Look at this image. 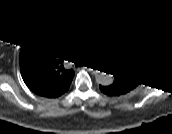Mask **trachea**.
Returning a JSON list of instances; mask_svg holds the SVG:
<instances>
[{
    "instance_id": "3493384b",
    "label": "trachea",
    "mask_w": 172,
    "mask_h": 134,
    "mask_svg": "<svg viewBox=\"0 0 172 134\" xmlns=\"http://www.w3.org/2000/svg\"><path fill=\"white\" fill-rule=\"evenodd\" d=\"M82 63H83V60L82 59H77L76 65H79V64H82Z\"/></svg>"
}]
</instances>
